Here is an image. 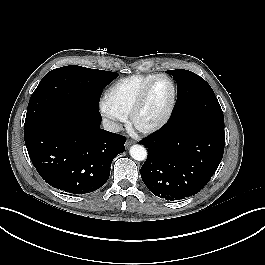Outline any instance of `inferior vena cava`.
I'll return each mask as SVG.
<instances>
[{
  "instance_id": "inferior-vena-cava-1",
  "label": "inferior vena cava",
  "mask_w": 265,
  "mask_h": 265,
  "mask_svg": "<svg viewBox=\"0 0 265 265\" xmlns=\"http://www.w3.org/2000/svg\"><path fill=\"white\" fill-rule=\"evenodd\" d=\"M102 124L103 128L109 132L118 133L122 129L121 125L109 119H103Z\"/></svg>"
}]
</instances>
